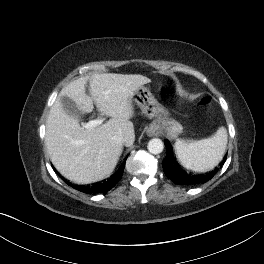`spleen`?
Instances as JSON below:
<instances>
[{
	"instance_id": "obj_1",
	"label": "spleen",
	"mask_w": 264,
	"mask_h": 264,
	"mask_svg": "<svg viewBox=\"0 0 264 264\" xmlns=\"http://www.w3.org/2000/svg\"><path fill=\"white\" fill-rule=\"evenodd\" d=\"M227 130L220 127L206 139L184 141L177 139L174 148L180 163L187 169L206 172L213 169L222 160L227 146Z\"/></svg>"
}]
</instances>
